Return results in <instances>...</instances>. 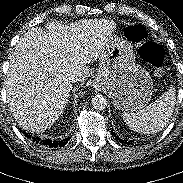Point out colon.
Wrapping results in <instances>:
<instances>
[{
  "label": "colon",
  "mask_w": 183,
  "mask_h": 183,
  "mask_svg": "<svg viewBox=\"0 0 183 183\" xmlns=\"http://www.w3.org/2000/svg\"><path fill=\"white\" fill-rule=\"evenodd\" d=\"M125 36L137 46L139 56L150 64L156 74H160L165 53L161 45L148 40V33L142 25H132L125 29Z\"/></svg>",
  "instance_id": "obj_1"
}]
</instances>
